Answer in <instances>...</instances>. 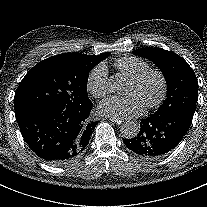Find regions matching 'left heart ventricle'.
Returning <instances> with one entry per match:
<instances>
[{
	"label": "left heart ventricle",
	"instance_id": "1",
	"mask_svg": "<svg viewBox=\"0 0 207 207\" xmlns=\"http://www.w3.org/2000/svg\"><path fill=\"white\" fill-rule=\"evenodd\" d=\"M160 92V82L158 78L151 76L149 77L140 87H135L133 84L129 83L126 94L136 95L144 107L147 104L154 101Z\"/></svg>",
	"mask_w": 207,
	"mask_h": 207
}]
</instances>
